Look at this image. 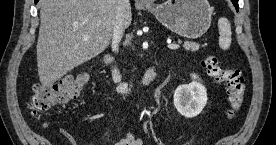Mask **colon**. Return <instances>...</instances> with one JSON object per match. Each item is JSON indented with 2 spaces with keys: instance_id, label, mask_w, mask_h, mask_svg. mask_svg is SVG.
<instances>
[{
  "instance_id": "colon-1",
  "label": "colon",
  "mask_w": 276,
  "mask_h": 145,
  "mask_svg": "<svg viewBox=\"0 0 276 145\" xmlns=\"http://www.w3.org/2000/svg\"><path fill=\"white\" fill-rule=\"evenodd\" d=\"M203 68L216 81L227 88L229 118L235 117L244 101L246 84L242 72L238 69L225 68L217 57L208 56L202 61ZM87 83L85 75L66 76L51 85L35 84L30 97L33 113L38 114L53 107L64 105L81 94Z\"/></svg>"
}]
</instances>
